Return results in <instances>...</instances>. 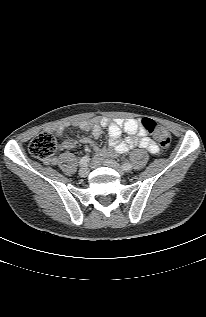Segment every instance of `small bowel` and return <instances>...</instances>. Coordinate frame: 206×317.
<instances>
[{
    "label": "small bowel",
    "instance_id": "1",
    "mask_svg": "<svg viewBox=\"0 0 206 317\" xmlns=\"http://www.w3.org/2000/svg\"><path fill=\"white\" fill-rule=\"evenodd\" d=\"M75 126L82 131L91 132L95 140L102 135L103 127L108 128L109 148L98 149L95 147L97 152L94 159L95 164L100 163L103 158L114 157L136 147L144 148L153 154L159 150V147L147 136L141 122L137 119H107L105 117H96L91 120L77 122ZM55 131L58 135L62 134V128L60 127L56 128ZM122 132L128 134L124 139L121 138ZM81 142L94 146V141L90 138L84 137L81 139ZM62 144L66 149H72L75 145L70 139L64 140ZM50 163L56 164L57 160L54 159Z\"/></svg>",
    "mask_w": 206,
    "mask_h": 317
}]
</instances>
